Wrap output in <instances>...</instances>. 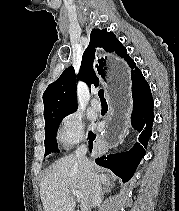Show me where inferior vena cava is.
Returning a JSON list of instances; mask_svg holds the SVG:
<instances>
[{
	"label": "inferior vena cava",
	"instance_id": "obj_1",
	"mask_svg": "<svg viewBox=\"0 0 179 211\" xmlns=\"http://www.w3.org/2000/svg\"><path fill=\"white\" fill-rule=\"evenodd\" d=\"M87 150H88L87 145L82 144L75 151V155H76L77 160H78L80 166L82 167V169L88 174L89 178H92L93 177V172H92L93 168H92V163L86 157ZM100 193H101V185L99 182H96L94 185V188L91 192L92 204H97L98 202L101 201Z\"/></svg>",
	"mask_w": 179,
	"mask_h": 211
}]
</instances>
